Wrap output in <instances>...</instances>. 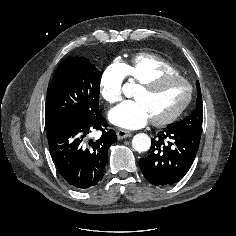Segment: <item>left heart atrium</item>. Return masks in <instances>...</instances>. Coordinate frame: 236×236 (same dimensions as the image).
Here are the masks:
<instances>
[{
  "label": "left heart atrium",
  "mask_w": 236,
  "mask_h": 236,
  "mask_svg": "<svg viewBox=\"0 0 236 236\" xmlns=\"http://www.w3.org/2000/svg\"><path fill=\"white\" fill-rule=\"evenodd\" d=\"M150 114L144 103L138 99L122 103L109 113L110 121L126 129H137L150 120Z\"/></svg>",
  "instance_id": "obj_1"
}]
</instances>
